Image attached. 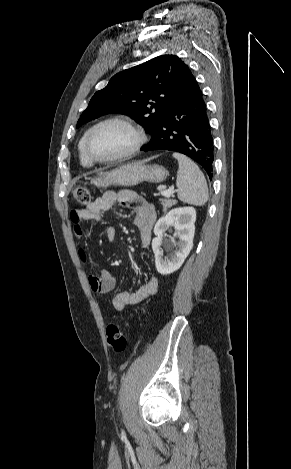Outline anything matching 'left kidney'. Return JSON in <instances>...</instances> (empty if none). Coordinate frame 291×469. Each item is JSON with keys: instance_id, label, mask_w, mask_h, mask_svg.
Wrapping results in <instances>:
<instances>
[{"instance_id": "5707ae66", "label": "left kidney", "mask_w": 291, "mask_h": 469, "mask_svg": "<svg viewBox=\"0 0 291 469\" xmlns=\"http://www.w3.org/2000/svg\"><path fill=\"white\" fill-rule=\"evenodd\" d=\"M195 221L196 210L188 206L172 209L156 223L154 228L156 237L152 241V249L155 255V266L160 274H171L184 263L193 247ZM169 227L175 228L174 237L179 238L175 244L163 241V234ZM162 244L165 245L166 250L176 248L169 258L163 256Z\"/></svg>"}]
</instances>
